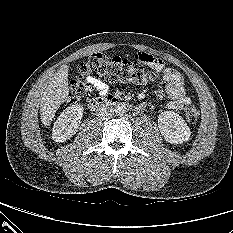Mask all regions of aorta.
<instances>
[{"mask_svg":"<svg viewBox=\"0 0 233 233\" xmlns=\"http://www.w3.org/2000/svg\"><path fill=\"white\" fill-rule=\"evenodd\" d=\"M126 105L124 103H119L117 104V106L115 107V113L118 116H123L126 113Z\"/></svg>","mask_w":233,"mask_h":233,"instance_id":"aorta-1","label":"aorta"}]
</instances>
